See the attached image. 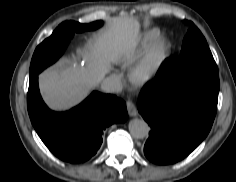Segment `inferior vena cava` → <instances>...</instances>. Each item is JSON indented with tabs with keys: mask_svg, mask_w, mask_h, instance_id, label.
<instances>
[{
	"mask_svg": "<svg viewBox=\"0 0 236 182\" xmlns=\"http://www.w3.org/2000/svg\"><path fill=\"white\" fill-rule=\"evenodd\" d=\"M101 89L106 93H120L122 91V83L115 77H106L101 83Z\"/></svg>",
	"mask_w": 236,
	"mask_h": 182,
	"instance_id": "602c4592",
	"label": "inferior vena cava"
}]
</instances>
